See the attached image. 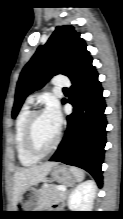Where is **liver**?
<instances>
[{
    "label": "liver",
    "mask_w": 123,
    "mask_h": 219,
    "mask_svg": "<svg viewBox=\"0 0 123 219\" xmlns=\"http://www.w3.org/2000/svg\"><path fill=\"white\" fill-rule=\"evenodd\" d=\"M56 162H46L29 168L18 170L13 179L12 208L21 201L23 194L33 185L41 182Z\"/></svg>",
    "instance_id": "6515ba94"
}]
</instances>
